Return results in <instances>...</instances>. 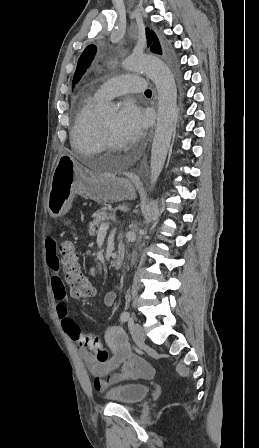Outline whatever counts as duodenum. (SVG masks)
<instances>
[{
	"label": "duodenum",
	"instance_id": "obj_1",
	"mask_svg": "<svg viewBox=\"0 0 259 448\" xmlns=\"http://www.w3.org/2000/svg\"><path fill=\"white\" fill-rule=\"evenodd\" d=\"M124 254H125V247L123 244H119L116 257L113 261V267L115 269H119L122 266L124 261Z\"/></svg>",
	"mask_w": 259,
	"mask_h": 448
}]
</instances>
